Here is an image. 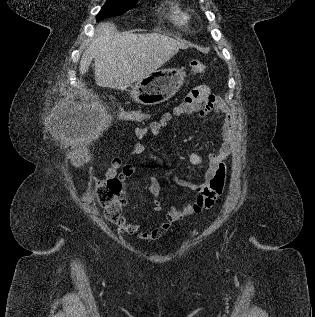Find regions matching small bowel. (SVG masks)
Here are the masks:
<instances>
[{"mask_svg":"<svg viewBox=\"0 0 315 317\" xmlns=\"http://www.w3.org/2000/svg\"><path fill=\"white\" fill-rule=\"evenodd\" d=\"M211 111L224 117L219 150L217 153H210L206 159L197 152H193L189 156V161L193 166L200 167L207 162L208 168L205 172L204 180L201 183H195L180 176L174 177V181L178 186L195 193L193 201L184 207H172L166 211L164 221L152 230H144L139 224L129 223L125 218H122L119 227L123 232L133 235L140 240L157 241L167 234L174 222L190 215L201 213L214 205L215 200L221 194L224 186L226 175L225 160L232 151L234 122L228 106L214 95L208 86L201 85L192 90L172 112H165L159 120L142 127H137L135 129V135L139 139L147 136H157L173 117L193 113H198L201 117H204ZM129 153L135 157H141L147 154L159 165L163 163L158 155L148 152L145 145L139 142L131 146ZM135 171L136 168L134 166L124 165L122 159L116 156L112 158L109 167L105 171V179L119 180L121 183V195L127 198L125 183L133 176ZM148 189L154 197L153 210L155 212H161L163 210L159 199L161 187L156 177L152 176L149 178Z\"/></svg>","mask_w":315,"mask_h":317,"instance_id":"1","label":"small bowel"}]
</instances>
